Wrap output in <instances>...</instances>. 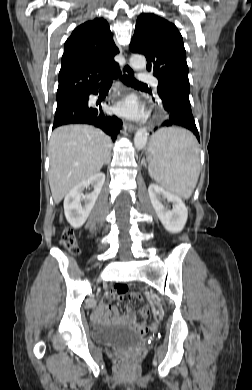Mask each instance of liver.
<instances>
[{
  "mask_svg": "<svg viewBox=\"0 0 252 390\" xmlns=\"http://www.w3.org/2000/svg\"><path fill=\"white\" fill-rule=\"evenodd\" d=\"M112 142L103 131L88 125L54 130L49 143V184L59 204L80 182L98 173L110 158Z\"/></svg>",
  "mask_w": 252,
  "mask_h": 390,
  "instance_id": "liver-1",
  "label": "liver"
}]
</instances>
